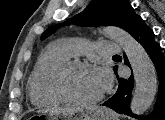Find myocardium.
<instances>
[{
    "label": "myocardium",
    "mask_w": 165,
    "mask_h": 120,
    "mask_svg": "<svg viewBox=\"0 0 165 120\" xmlns=\"http://www.w3.org/2000/svg\"><path fill=\"white\" fill-rule=\"evenodd\" d=\"M76 69H90L87 62L81 60H68L56 72L54 77V89L56 93L66 102L77 105H94L100 102L104 97L101 92L97 97L92 99H80L74 97L68 90L67 81L69 74Z\"/></svg>",
    "instance_id": "obj_1"
}]
</instances>
